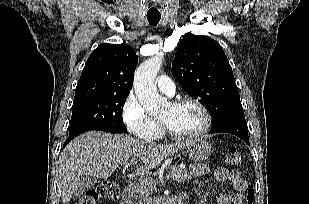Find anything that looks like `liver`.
<instances>
[{"label": "liver", "instance_id": "liver-1", "mask_svg": "<svg viewBox=\"0 0 309 204\" xmlns=\"http://www.w3.org/2000/svg\"><path fill=\"white\" fill-rule=\"evenodd\" d=\"M189 141L157 145L129 135L99 131L84 133L71 141L59 157L58 175L63 204L74 195L77 181L83 176L106 179L119 166L150 171L160 162L181 150ZM126 167V168H127Z\"/></svg>", "mask_w": 309, "mask_h": 204}]
</instances>
